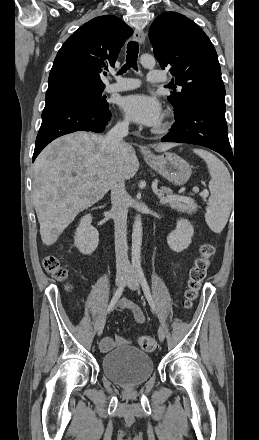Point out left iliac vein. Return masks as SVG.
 Segmentation results:
<instances>
[{"label":"left iliac vein","mask_w":259,"mask_h":440,"mask_svg":"<svg viewBox=\"0 0 259 440\" xmlns=\"http://www.w3.org/2000/svg\"><path fill=\"white\" fill-rule=\"evenodd\" d=\"M128 274H129V277H128V280H127V285L132 290H136V291L139 290L140 285H139V279H138V276H137L136 272L133 269H131V267H130L128 269ZM158 337H159V340L161 342H163L164 339H165V331H164V328L162 326H159Z\"/></svg>","instance_id":"4c4485c4"}]
</instances>
